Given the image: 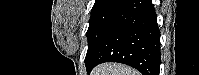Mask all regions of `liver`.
<instances>
[{
	"label": "liver",
	"instance_id": "6515ba94",
	"mask_svg": "<svg viewBox=\"0 0 199 75\" xmlns=\"http://www.w3.org/2000/svg\"><path fill=\"white\" fill-rule=\"evenodd\" d=\"M91 75H140V73L131 67L118 63H104L97 66Z\"/></svg>",
	"mask_w": 199,
	"mask_h": 75
}]
</instances>
